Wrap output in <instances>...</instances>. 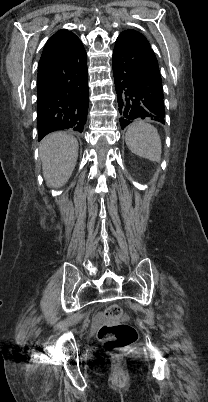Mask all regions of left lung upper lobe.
<instances>
[{
  "instance_id": "left-lung-upper-lobe-1",
  "label": "left lung upper lobe",
  "mask_w": 208,
  "mask_h": 402,
  "mask_svg": "<svg viewBox=\"0 0 208 402\" xmlns=\"http://www.w3.org/2000/svg\"><path fill=\"white\" fill-rule=\"evenodd\" d=\"M154 57H155V56H154ZM155 59H156V57H155ZM155 63L158 65L157 59L155 60Z\"/></svg>"
}]
</instances>
